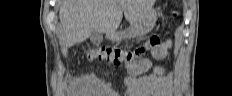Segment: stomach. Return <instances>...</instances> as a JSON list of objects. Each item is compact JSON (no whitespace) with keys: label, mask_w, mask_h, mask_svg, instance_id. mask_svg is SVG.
Returning a JSON list of instances; mask_svg holds the SVG:
<instances>
[{"label":"stomach","mask_w":232,"mask_h":96,"mask_svg":"<svg viewBox=\"0 0 232 96\" xmlns=\"http://www.w3.org/2000/svg\"><path fill=\"white\" fill-rule=\"evenodd\" d=\"M157 20V13L154 9H151L143 18L135 25H132V36H141L150 32L155 26ZM108 39L112 42H119L124 37L119 33L115 32L113 34L107 35Z\"/></svg>","instance_id":"0dacf381"}]
</instances>
